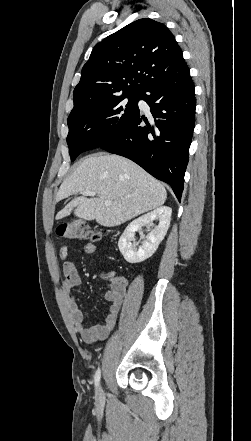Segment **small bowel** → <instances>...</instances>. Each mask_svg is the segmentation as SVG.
<instances>
[{"label": "small bowel", "instance_id": "1", "mask_svg": "<svg viewBox=\"0 0 251 441\" xmlns=\"http://www.w3.org/2000/svg\"><path fill=\"white\" fill-rule=\"evenodd\" d=\"M83 250L87 255L93 256L96 246L93 243H87L84 245ZM68 255L69 247L67 245L61 246L59 257L62 260H66ZM63 275L65 278L63 289L67 294V305L76 331L86 343L91 344L106 339L117 323L118 313L126 293V281H112L110 283V287L104 296L105 300L109 303L107 314L100 323L87 325L74 294V291L81 287L82 279L73 262L65 261L63 263Z\"/></svg>", "mask_w": 251, "mask_h": 441}]
</instances>
